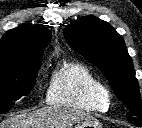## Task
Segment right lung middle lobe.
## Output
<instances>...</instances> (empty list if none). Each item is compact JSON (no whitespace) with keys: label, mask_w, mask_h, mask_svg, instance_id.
<instances>
[{"label":"right lung middle lobe","mask_w":142,"mask_h":128,"mask_svg":"<svg viewBox=\"0 0 142 128\" xmlns=\"http://www.w3.org/2000/svg\"><path fill=\"white\" fill-rule=\"evenodd\" d=\"M40 66L41 59L28 64L14 76H0V113L8 111L14 101L32 91Z\"/></svg>","instance_id":"right-lung-middle-lobe-1"}]
</instances>
